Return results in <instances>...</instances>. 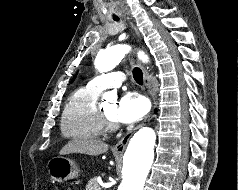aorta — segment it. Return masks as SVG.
Listing matches in <instances>:
<instances>
[{
  "label": "aorta",
  "mask_w": 238,
  "mask_h": 190,
  "mask_svg": "<svg viewBox=\"0 0 238 190\" xmlns=\"http://www.w3.org/2000/svg\"><path fill=\"white\" fill-rule=\"evenodd\" d=\"M130 47L123 44L113 45L101 50L95 59V67L100 72L111 71L120 63ZM146 62L148 57L140 53ZM104 99L113 102L117 95L113 92L104 94ZM156 135L153 129L143 127L131 138L123 159V180L118 190H143L146 177L154 158Z\"/></svg>",
  "instance_id": "obj_1"
}]
</instances>
